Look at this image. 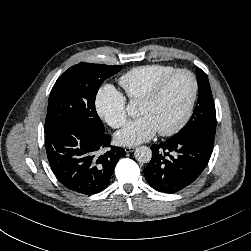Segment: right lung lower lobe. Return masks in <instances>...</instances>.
Listing matches in <instances>:
<instances>
[{
    "label": "right lung lower lobe",
    "mask_w": 251,
    "mask_h": 251,
    "mask_svg": "<svg viewBox=\"0 0 251 251\" xmlns=\"http://www.w3.org/2000/svg\"><path fill=\"white\" fill-rule=\"evenodd\" d=\"M111 137L83 125L71 124L46 133L47 158L58 181L67 189L85 195L104 190L110 183L117 161L126 153L112 146Z\"/></svg>",
    "instance_id": "right-lung-lower-lobe-1"
}]
</instances>
